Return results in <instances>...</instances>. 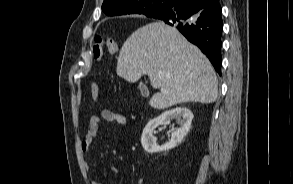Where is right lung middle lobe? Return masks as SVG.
Segmentation results:
<instances>
[{"label": "right lung middle lobe", "instance_id": "obj_1", "mask_svg": "<svg viewBox=\"0 0 293 184\" xmlns=\"http://www.w3.org/2000/svg\"><path fill=\"white\" fill-rule=\"evenodd\" d=\"M166 6L165 0L163 1H158L152 4L149 8V13L151 15H156L158 14L162 9H164Z\"/></svg>", "mask_w": 293, "mask_h": 184}]
</instances>
